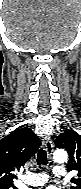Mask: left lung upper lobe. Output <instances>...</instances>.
I'll list each match as a JSON object with an SVG mask.
<instances>
[{
  "label": "left lung upper lobe",
  "mask_w": 81,
  "mask_h": 189,
  "mask_svg": "<svg viewBox=\"0 0 81 189\" xmlns=\"http://www.w3.org/2000/svg\"><path fill=\"white\" fill-rule=\"evenodd\" d=\"M57 148L65 149L69 154L68 170H78V178H72L71 189H81V135L74 130L61 133L55 141Z\"/></svg>",
  "instance_id": "5c2ea615"
}]
</instances>
